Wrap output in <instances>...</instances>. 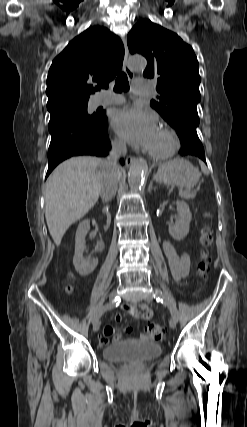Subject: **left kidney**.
Listing matches in <instances>:
<instances>
[{
    "instance_id": "1",
    "label": "left kidney",
    "mask_w": 247,
    "mask_h": 427,
    "mask_svg": "<svg viewBox=\"0 0 247 427\" xmlns=\"http://www.w3.org/2000/svg\"><path fill=\"white\" fill-rule=\"evenodd\" d=\"M176 220L169 226V234L175 240L184 239L189 233L192 214L189 206L183 201H177Z\"/></svg>"
}]
</instances>
